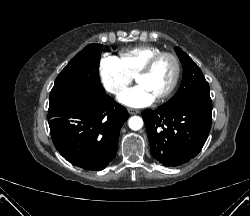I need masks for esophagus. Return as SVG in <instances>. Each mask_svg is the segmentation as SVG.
Returning <instances> with one entry per match:
<instances>
[{"mask_svg": "<svg viewBox=\"0 0 250 216\" xmlns=\"http://www.w3.org/2000/svg\"><path fill=\"white\" fill-rule=\"evenodd\" d=\"M127 110H128L129 114H137V113H139V110H136V109H133V108H128Z\"/></svg>", "mask_w": 250, "mask_h": 216, "instance_id": "esophagus-1", "label": "esophagus"}]
</instances>
